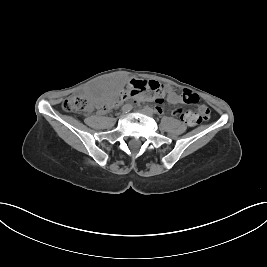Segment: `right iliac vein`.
Returning a JSON list of instances; mask_svg holds the SVG:
<instances>
[{
    "label": "right iliac vein",
    "instance_id": "1",
    "mask_svg": "<svg viewBox=\"0 0 267 267\" xmlns=\"http://www.w3.org/2000/svg\"><path fill=\"white\" fill-rule=\"evenodd\" d=\"M125 116V113H122L121 115H120V117H124Z\"/></svg>",
    "mask_w": 267,
    "mask_h": 267
}]
</instances>
